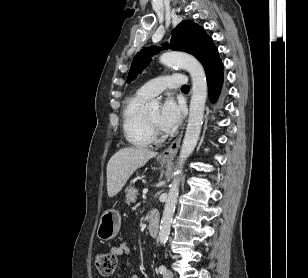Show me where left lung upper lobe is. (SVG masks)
Segmentation results:
<instances>
[{"mask_svg": "<svg viewBox=\"0 0 308 278\" xmlns=\"http://www.w3.org/2000/svg\"><path fill=\"white\" fill-rule=\"evenodd\" d=\"M165 49L184 51L194 55L203 65L205 72L212 70L221 63L218 50L204 29L192 21H182L172 31L170 45ZM160 48H145L136 54L128 74L130 83L149 64L150 57L159 52Z\"/></svg>", "mask_w": 308, "mask_h": 278, "instance_id": "5c2ea615", "label": "left lung upper lobe"}]
</instances>
